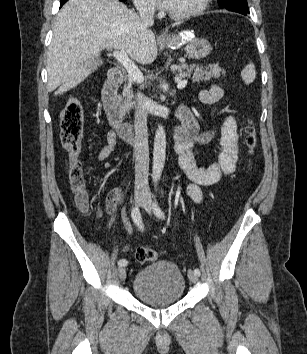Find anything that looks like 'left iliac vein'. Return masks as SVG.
<instances>
[{
  "mask_svg": "<svg viewBox=\"0 0 307 354\" xmlns=\"http://www.w3.org/2000/svg\"><path fill=\"white\" fill-rule=\"evenodd\" d=\"M142 206L149 214H152V203L149 198H145ZM188 278L192 283H196L198 281V275H196L192 270L188 271Z\"/></svg>",
  "mask_w": 307,
  "mask_h": 354,
  "instance_id": "4c4485c4",
  "label": "left iliac vein"
}]
</instances>
